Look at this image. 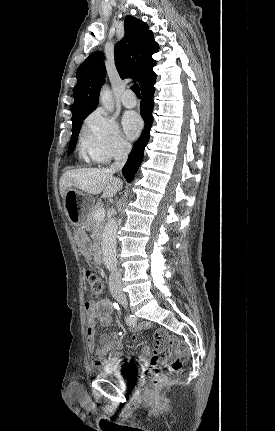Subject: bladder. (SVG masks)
Instances as JSON below:
<instances>
[{
	"label": "bladder",
	"mask_w": 275,
	"mask_h": 431,
	"mask_svg": "<svg viewBox=\"0 0 275 431\" xmlns=\"http://www.w3.org/2000/svg\"><path fill=\"white\" fill-rule=\"evenodd\" d=\"M130 365L128 363H111L102 367L101 374L116 378L119 382H127V372Z\"/></svg>",
	"instance_id": "obj_1"
}]
</instances>
